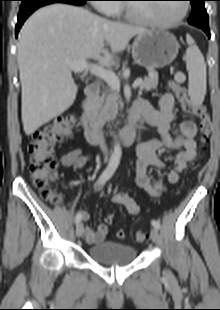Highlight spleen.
I'll return each instance as SVG.
<instances>
[{
	"instance_id": "1",
	"label": "spleen",
	"mask_w": 220,
	"mask_h": 310,
	"mask_svg": "<svg viewBox=\"0 0 220 310\" xmlns=\"http://www.w3.org/2000/svg\"><path fill=\"white\" fill-rule=\"evenodd\" d=\"M188 48L185 61L189 75L188 91L192 101L201 104L206 94V64L204 57L190 35H186Z\"/></svg>"
}]
</instances>
